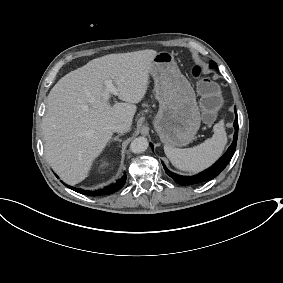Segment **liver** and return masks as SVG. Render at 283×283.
Masks as SVG:
<instances>
[{
	"instance_id": "1",
	"label": "liver",
	"mask_w": 283,
	"mask_h": 283,
	"mask_svg": "<svg viewBox=\"0 0 283 283\" xmlns=\"http://www.w3.org/2000/svg\"><path fill=\"white\" fill-rule=\"evenodd\" d=\"M157 52L141 50L109 54L89 61L62 77L47 98L42 122L45 156L68 185L83 181L93 161L113 135L112 127L132 124L136 103L149 84V68ZM112 80L125 101L110 106L103 95Z\"/></svg>"
}]
</instances>
